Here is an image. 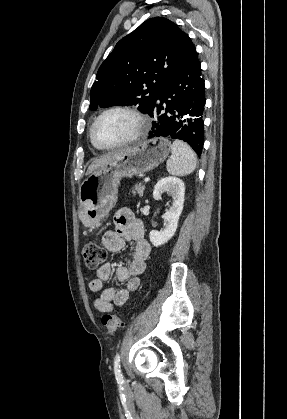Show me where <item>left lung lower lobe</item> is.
Returning a JSON list of instances; mask_svg holds the SVG:
<instances>
[{"label": "left lung lower lobe", "instance_id": "obj_1", "mask_svg": "<svg viewBox=\"0 0 287 419\" xmlns=\"http://www.w3.org/2000/svg\"><path fill=\"white\" fill-rule=\"evenodd\" d=\"M204 105L205 86L197 58L190 67L166 82L157 93L148 113L154 119L148 138L181 139L200 156L204 143Z\"/></svg>", "mask_w": 287, "mask_h": 419}]
</instances>
